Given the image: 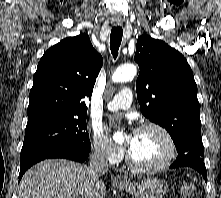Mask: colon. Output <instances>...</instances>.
Listing matches in <instances>:
<instances>
[{"instance_id":"colon-1","label":"colon","mask_w":221,"mask_h":198,"mask_svg":"<svg viewBox=\"0 0 221 198\" xmlns=\"http://www.w3.org/2000/svg\"><path fill=\"white\" fill-rule=\"evenodd\" d=\"M181 195L183 198H193L195 196V186L192 182H185L181 186Z\"/></svg>"}]
</instances>
